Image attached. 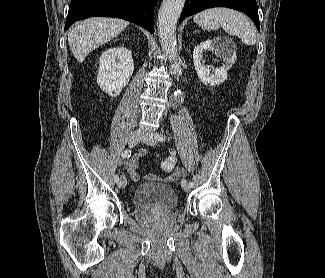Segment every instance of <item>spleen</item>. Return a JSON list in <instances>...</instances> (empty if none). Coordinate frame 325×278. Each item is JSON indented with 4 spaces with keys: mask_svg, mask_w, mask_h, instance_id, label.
Segmentation results:
<instances>
[{
    "mask_svg": "<svg viewBox=\"0 0 325 278\" xmlns=\"http://www.w3.org/2000/svg\"><path fill=\"white\" fill-rule=\"evenodd\" d=\"M193 20L203 30H217L222 27L229 35L238 36L246 45L256 43L255 27L238 11L228 8H211L196 14Z\"/></svg>",
    "mask_w": 325,
    "mask_h": 278,
    "instance_id": "spleen-1",
    "label": "spleen"
}]
</instances>
